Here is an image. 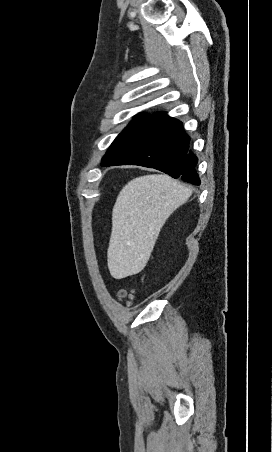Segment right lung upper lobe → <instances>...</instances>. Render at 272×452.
Returning <instances> with one entry per match:
<instances>
[{
	"mask_svg": "<svg viewBox=\"0 0 272 452\" xmlns=\"http://www.w3.org/2000/svg\"><path fill=\"white\" fill-rule=\"evenodd\" d=\"M164 114H165L164 112H159V113H156L155 115L162 116V115H164Z\"/></svg>",
	"mask_w": 272,
	"mask_h": 452,
	"instance_id": "cb5924a9",
	"label": "right lung upper lobe"
}]
</instances>
